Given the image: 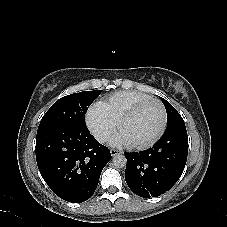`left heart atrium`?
I'll list each match as a JSON object with an SVG mask.
<instances>
[{"instance_id": "obj_1", "label": "left heart atrium", "mask_w": 227, "mask_h": 227, "mask_svg": "<svg viewBox=\"0 0 227 227\" xmlns=\"http://www.w3.org/2000/svg\"><path fill=\"white\" fill-rule=\"evenodd\" d=\"M112 144L116 147L130 146L131 143L120 132L112 139Z\"/></svg>"}]
</instances>
